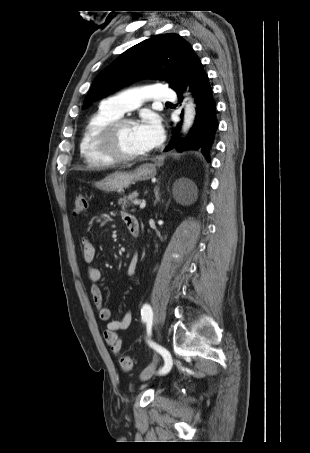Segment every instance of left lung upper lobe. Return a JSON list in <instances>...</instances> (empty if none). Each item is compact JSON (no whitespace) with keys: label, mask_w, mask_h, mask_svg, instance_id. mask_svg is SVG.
Here are the masks:
<instances>
[{"label":"left lung upper lobe","mask_w":310,"mask_h":453,"mask_svg":"<svg viewBox=\"0 0 310 453\" xmlns=\"http://www.w3.org/2000/svg\"><path fill=\"white\" fill-rule=\"evenodd\" d=\"M193 52L190 44L175 33L144 40L122 53L97 75L83 108L143 77L166 78L173 89Z\"/></svg>","instance_id":"5c2ea615"}]
</instances>
